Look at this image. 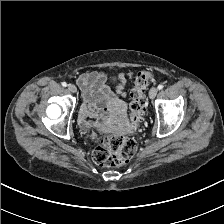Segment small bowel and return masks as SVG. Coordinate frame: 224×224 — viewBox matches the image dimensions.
<instances>
[{
  "mask_svg": "<svg viewBox=\"0 0 224 224\" xmlns=\"http://www.w3.org/2000/svg\"><path fill=\"white\" fill-rule=\"evenodd\" d=\"M130 77V75L117 76L114 86L108 76L101 72H86L78 77L77 83L82 90L84 102L79 114L82 128L91 125L88 118L94 116L95 107L106 112L109 102L126 96V85Z\"/></svg>",
  "mask_w": 224,
  "mask_h": 224,
  "instance_id": "1",
  "label": "small bowel"
}]
</instances>
